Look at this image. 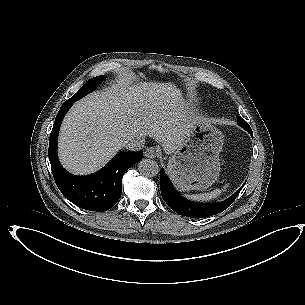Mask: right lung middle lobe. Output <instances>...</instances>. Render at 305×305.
I'll return each instance as SVG.
<instances>
[{
	"instance_id": "obj_1",
	"label": "right lung middle lobe",
	"mask_w": 305,
	"mask_h": 305,
	"mask_svg": "<svg viewBox=\"0 0 305 305\" xmlns=\"http://www.w3.org/2000/svg\"><path fill=\"white\" fill-rule=\"evenodd\" d=\"M105 79L104 75L94 77L88 80L80 89L79 91L74 94L70 99L74 102L81 99L82 97L86 96L89 92L93 91L96 85L102 82Z\"/></svg>"
}]
</instances>
